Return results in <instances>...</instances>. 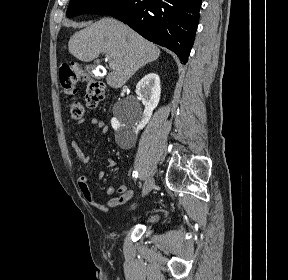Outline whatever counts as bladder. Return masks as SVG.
<instances>
[{
  "label": "bladder",
  "instance_id": "1",
  "mask_svg": "<svg viewBox=\"0 0 288 280\" xmlns=\"http://www.w3.org/2000/svg\"><path fill=\"white\" fill-rule=\"evenodd\" d=\"M160 218V215L156 212H151L148 213L145 217H144V221L146 223H154L156 221H158Z\"/></svg>",
  "mask_w": 288,
  "mask_h": 280
}]
</instances>
